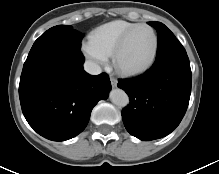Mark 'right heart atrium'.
<instances>
[{"mask_svg": "<svg viewBox=\"0 0 219 174\" xmlns=\"http://www.w3.org/2000/svg\"><path fill=\"white\" fill-rule=\"evenodd\" d=\"M82 52L95 67L105 66L108 63V56L101 52L90 41H86L82 44Z\"/></svg>", "mask_w": 219, "mask_h": 174, "instance_id": "obj_1", "label": "right heart atrium"}]
</instances>
